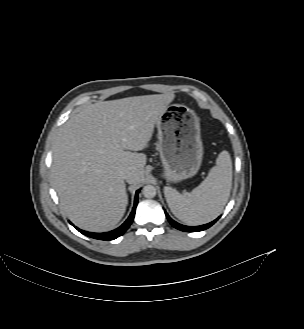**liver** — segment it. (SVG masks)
Returning <instances> with one entry per match:
<instances>
[{
    "label": "liver",
    "instance_id": "1",
    "mask_svg": "<svg viewBox=\"0 0 304 329\" xmlns=\"http://www.w3.org/2000/svg\"><path fill=\"white\" fill-rule=\"evenodd\" d=\"M175 95L127 97L88 105L60 129L53 144L52 179L62 210L78 227L111 230L123 217L129 184L144 180L146 155L159 117Z\"/></svg>",
    "mask_w": 304,
    "mask_h": 329
}]
</instances>
